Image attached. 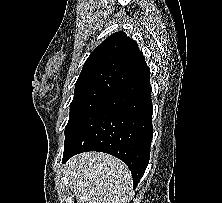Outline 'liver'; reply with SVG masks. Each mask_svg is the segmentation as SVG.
I'll return each instance as SVG.
<instances>
[{
    "label": "liver",
    "mask_w": 222,
    "mask_h": 203,
    "mask_svg": "<svg viewBox=\"0 0 222 203\" xmlns=\"http://www.w3.org/2000/svg\"><path fill=\"white\" fill-rule=\"evenodd\" d=\"M68 186L77 203H128L133 187L128 167L101 152H85L66 164Z\"/></svg>",
    "instance_id": "1"
}]
</instances>
